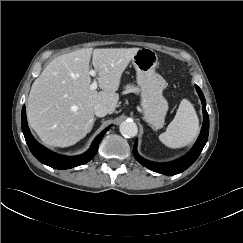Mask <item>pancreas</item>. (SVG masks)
<instances>
[{"label":"pancreas","instance_id":"cf45deb5","mask_svg":"<svg viewBox=\"0 0 243 243\" xmlns=\"http://www.w3.org/2000/svg\"><path fill=\"white\" fill-rule=\"evenodd\" d=\"M124 88H125L126 92H133V93L139 92V89L136 86H134L133 84H128Z\"/></svg>","mask_w":243,"mask_h":243}]
</instances>
